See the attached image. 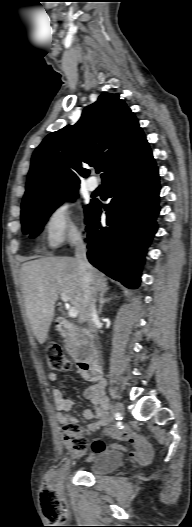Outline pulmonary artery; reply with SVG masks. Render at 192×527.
Wrapping results in <instances>:
<instances>
[{"label": "pulmonary artery", "instance_id": "obj_1", "mask_svg": "<svg viewBox=\"0 0 192 527\" xmlns=\"http://www.w3.org/2000/svg\"><path fill=\"white\" fill-rule=\"evenodd\" d=\"M86 187L89 191H95L98 187V182L95 178H89L86 182Z\"/></svg>", "mask_w": 192, "mask_h": 527}]
</instances>
